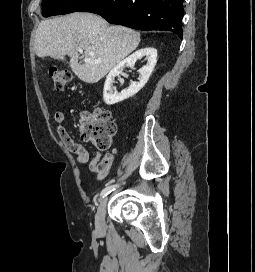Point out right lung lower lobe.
<instances>
[{"label": "right lung lower lobe", "mask_w": 255, "mask_h": 272, "mask_svg": "<svg viewBox=\"0 0 255 272\" xmlns=\"http://www.w3.org/2000/svg\"><path fill=\"white\" fill-rule=\"evenodd\" d=\"M78 12H91L109 23L137 30H164L181 39L183 0H91Z\"/></svg>", "instance_id": "1"}]
</instances>
